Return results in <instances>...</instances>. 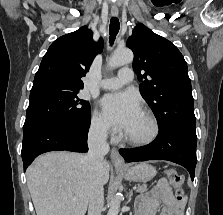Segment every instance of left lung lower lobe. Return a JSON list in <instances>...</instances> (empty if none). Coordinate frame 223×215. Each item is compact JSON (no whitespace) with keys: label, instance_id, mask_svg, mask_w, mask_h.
<instances>
[{"label":"left lung lower lobe","instance_id":"left-lung-lower-lobe-1","mask_svg":"<svg viewBox=\"0 0 223 215\" xmlns=\"http://www.w3.org/2000/svg\"><path fill=\"white\" fill-rule=\"evenodd\" d=\"M197 136L195 127L173 126L159 130L156 139L147 146L120 149L127 162L147 160H168L185 167L194 180Z\"/></svg>","mask_w":223,"mask_h":215}]
</instances>
